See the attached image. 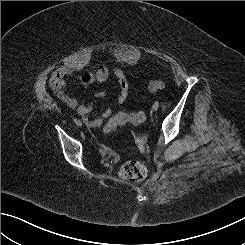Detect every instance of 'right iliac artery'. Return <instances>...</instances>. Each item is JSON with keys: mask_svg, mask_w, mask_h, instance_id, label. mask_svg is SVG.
Segmentation results:
<instances>
[{"mask_svg": "<svg viewBox=\"0 0 245 245\" xmlns=\"http://www.w3.org/2000/svg\"><path fill=\"white\" fill-rule=\"evenodd\" d=\"M73 121L77 124L79 120L77 118H74Z\"/></svg>", "mask_w": 245, "mask_h": 245, "instance_id": "obj_1", "label": "right iliac artery"}]
</instances>
